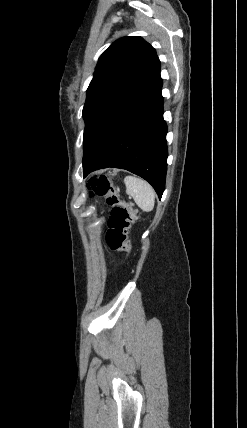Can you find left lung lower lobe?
Masks as SVG:
<instances>
[{"label": "left lung lower lobe", "instance_id": "left-lung-lower-lobe-1", "mask_svg": "<svg viewBox=\"0 0 247 428\" xmlns=\"http://www.w3.org/2000/svg\"><path fill=\"white\" fill-rule=\"evenodd\" d=\"M161 88L159 74L111 116L83 160L84 177L101 168L126 169L148 181L161 199L168 156Z\"/></svg>", "mask_w": 247, "mask_h": 428}]
</instances>
